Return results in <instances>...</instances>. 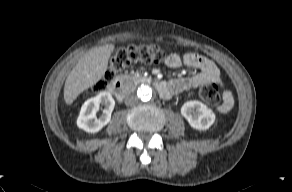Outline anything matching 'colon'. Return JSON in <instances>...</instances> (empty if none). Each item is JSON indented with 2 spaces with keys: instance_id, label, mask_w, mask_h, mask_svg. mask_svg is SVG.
I'll return each mask as SVG.
<instances>
[{
  "instance_id": "colon-1",
  "label": "colon",
  "mask_w": 292,
  "mask_h": 192,
  "mask_svg": "<svg viewBox=\"0 0 292 192\" xmlns=\"http://www.w3.org/2000/svg\"><path fill=\"white\" fill-rule=\"evenodd\" d=\"M165 54L163 50L155 44L150 45H129L117 50L111 60L104 78L98 81L93 90L102 92L111 83L118 73L125 70L134 63L155 64L163 61ZM198 96L207 103L217 105L221 101L219 86L215 83L202 86L198 90Z\"/></svg>"
}]
</instances>
